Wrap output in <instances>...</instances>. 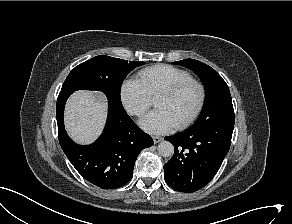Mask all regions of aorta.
<instances>
[{"label": "aorta", "mask_w": 292, "mask_h": 224, "mask_svg": "<svg viewBox=\"0 0 292 224\" xmlns=\"http://www.w3.org/2000/svg\"><path fill=\"white\" fill-rule=\"evenodd\" d=\"M158 152L163 157H171L174 154V146L169 141H162L158 145Z\"/></svg>", "instance_id": "aorta-1"}]
</instances>
